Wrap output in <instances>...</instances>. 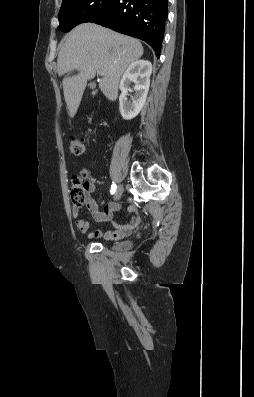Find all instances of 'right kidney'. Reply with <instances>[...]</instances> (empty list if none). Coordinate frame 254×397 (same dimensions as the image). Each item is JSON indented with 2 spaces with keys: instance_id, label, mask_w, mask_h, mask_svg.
I'll return each instance as SVG.
<instances>
[{
  "instance_id": "ca27d5eb",
  "label": "right kidney",
  "mask_w": 254,
  "mask_h": 397,
  "mask_svg": "<svg viewBox=\"0 0 254 397\" xmlns=\"http://www.w3.org/2000/svg\"><path fill=\"white\" fill-rule=\"evenodd\" d=\"M151 73L152 64L147 60H137L126 69L119 85L121 90L119 109L125 120L135 118L144 106L150 86ZM131 83H135L134 95L131 96V100H128L127 96L128 92L131 91Z\"/></svg>"
}]
</instances>
